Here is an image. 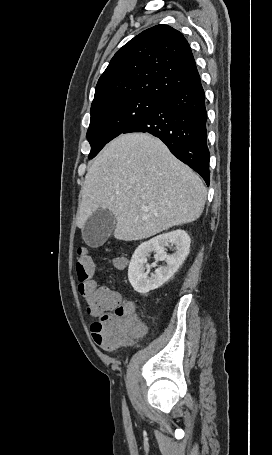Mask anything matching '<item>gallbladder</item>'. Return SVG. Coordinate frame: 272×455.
<instances>
[{
	"label": "gallbladder",
	"mask_w": 272,
	"mask_h": 455,
	"mask_svg": "<svg viewBox=\"0 0 272 455\" xmlns=\"http://www.w3.org/2000/svg\"><path fill=\"white\" fill-rule=\"evenodd\" d=\"M116 226L115 216L107 209H99L85 222L82 236L87 245L98 247L112 234Z\"/></svg>",
	"instance_id": "bac80fb5"
}]
</instances>
